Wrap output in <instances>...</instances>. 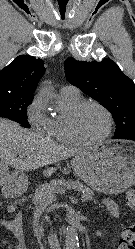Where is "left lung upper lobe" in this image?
<instances>
[{"mask_svg": "<svg viewBox=\"0 0 135 249\" xmlns=\"http://www.w3.org/2000/svg\"><path fill=\"white\" fill-rule=\"evenodd\" d=\"M68 81L102 103L116 123L114 138L135 133V84L109 58L101 62L65 60Z\"/></svg>", "mask_w": 135, "mask_h": 249, "instance_id": "left-lung-upper-lobe-1", "label": "left lung upper lobe"}]
</instances>
